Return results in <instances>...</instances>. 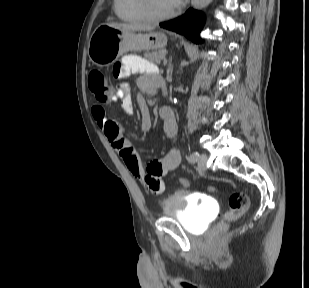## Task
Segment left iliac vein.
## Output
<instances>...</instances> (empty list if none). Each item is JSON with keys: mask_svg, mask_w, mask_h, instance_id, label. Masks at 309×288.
<instances>
[{"mask_svg": "<svg viewBox=\"0 0 309 288\" xmlns=\"http://www.w3.org/2000/svg\"><path fill=\"white\" fill-rule=\"evenodd\" d=\"M208 156L206 154H201L198 157V167L201 170H206L207 166H206V162H207Z\"/></svg>", "mask_w": 309, "mask_h": 288, "instance_id": "4c4485c4", "label": "left iliac vein"}]
</instances>
